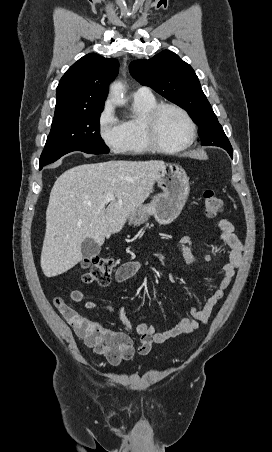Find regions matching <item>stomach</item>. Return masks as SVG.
Returning a JSON list of instances; mask_svg holds the SVG:
<instances>
[{
  "instance_id": "obj_1",
  "label": "stomach",
  "mask_w": 272,
  "mask_h": 452,
  "mask_svg": "<svg viewBox=\"0 0 272 452\" xmlns=\"http://www.w3.org/2000/svg\"><path fill=\"white\" fill-rule=\"evenodd\" d=\"M162 193L153 197L150 203L140 205L128 217L129 225H141L153 215L162 225L172 223L181 213L189 195V178L177 164L164 163L155 179Z\"/></svg>"
}]
</instances>
